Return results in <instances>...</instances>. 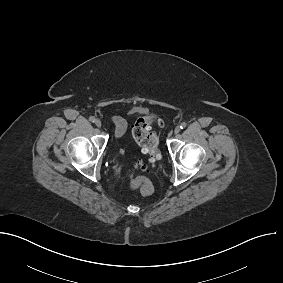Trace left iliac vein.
<instances>
[{
    "instance_id": "left-iliac-vein-1",
    "label": "left iliac vein",
    "mask_w": 283,
    "mask_h": 283,
    "mask_svg": "<svg viewBox=\"0 0 283 283\" xmlns=\"http://www.w3.org/2000/svg\"><path fill=\"white\" fill-rule=\"evenodd\" d=\"M179 132H180V127L177 126V127L174 129V133H175V134H178Z\"/></svg>"
}]
</instances>
